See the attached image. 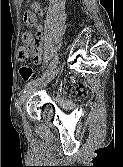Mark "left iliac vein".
<instances>
[{"instance_id": "left-iliac-vein-1", "label": "left iliac vein", "mask_w": 123, "mask_h": 167, "mask_svg": "<svg viewBox=\"0 0 123 167\" xmlns=\"http://www.w3.org/2000/svg\"><path fill=\"white\" fill-rule=\"evenodd\" d=\"M61 69V65L55 67L47 76H45L42 80L37 82L31 89H28L18 100L17 109L21 111L22 105L28 99V97L37 89L45 87L59 72Z\"/></svg>"}]
</instances>
